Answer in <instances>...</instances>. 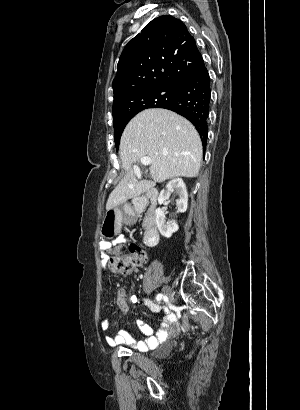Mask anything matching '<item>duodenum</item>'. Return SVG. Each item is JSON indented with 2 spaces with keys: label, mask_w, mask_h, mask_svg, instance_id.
Returning a JSON list of instances; mask_svg holds the SVG:
<instances>
[{
  "label": "duodenum",
  "mask_w": 300,
  "mask_h": 410,
  "mask_svg": "<svg viewBox=\"0 0 300 410\" xmlns=\"http://www.w3.org/2000/svg\"><path fill=\"white\" fill-rule=\"evenodd\" d=\"M158 191L157 190H151L148 194V198L151 201V204H154L157 201L158 198ZM138 204V209L141 211H147L146 215V228L144 232V244L148 247H154L157 245L159 241V230L157 227L156 223V213L153 207H148L145 208L142 204L139 202Z\"/></svg>",
  "instance_id": "410a0bca"
}]
</instances>
